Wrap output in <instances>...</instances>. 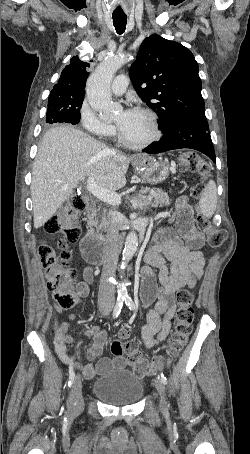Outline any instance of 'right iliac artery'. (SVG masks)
<instances>
[{"label":"right iliac artery","mask_w":250,"mask_h":454,"mask_svg":"<svg viewBox=\"0 0 250 454\" xmlns=\"http://www.w3.org/2000/svg\"><path fill=\"white\" fill-rule=\"evenodd\" d=\"M123 301L124 299H117V302H116V305L114 307V310H113V318H117L118 315L120 314L121 312V309H122V306H123ZM74 379H75V372L73 370V367L70 365L69 367V381H68V386L71 387L74 383Z\"/></svg>","instance_id":"obj_1"}]
</instances>
